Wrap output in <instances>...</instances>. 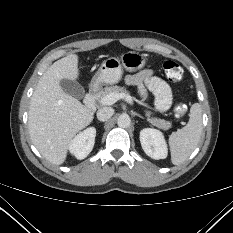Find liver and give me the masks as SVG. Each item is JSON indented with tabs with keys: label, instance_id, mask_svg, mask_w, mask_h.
Returning a JSON list of instances; mask_svg holds the SVG:
<instances>
[{
	"label": "liver",
	"instance_id": "6515ba94",
	"mask_svg": "<svg viewBox=\"0 0 233 233\" xmlns=\"http://www.w3.org/2000/svg\"><path fill=\"white\" fill-rule=\"evenodd\" d=\"M79 76L78 56L54 62L40 78L30 100L28 127L32 143L49 162L61 165L72 138L93 120L94 111L65 93L64 79Z\"/></svg>",
	"mask_w": 233,
	"mask_h": 233
}]
</instances>
